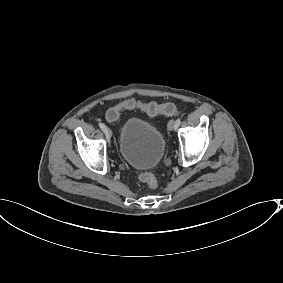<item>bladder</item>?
Masks as SVG:
<instances>
[{"mask_svg":"<svg viewBox=\"0 0 283 283\" xmlns=\"http://www.w3.org/2000/svg\"><path fill=\"white\" fill-rule=\"evenodd\" d=\"M117 150L120 158L132 167H155L165 153L166 138L154 122L128 116L119 131Z\"/></svg>","mask_w":283,"mask_h":283,"instance_id":"1","label":"bladder"}]
</instances>
